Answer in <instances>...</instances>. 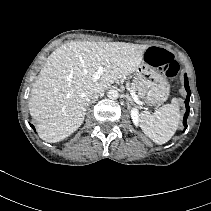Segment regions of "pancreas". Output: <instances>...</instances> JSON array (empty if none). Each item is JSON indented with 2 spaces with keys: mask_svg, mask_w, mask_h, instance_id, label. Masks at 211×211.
Wrapping results in <instances>:
<instances>
[{
  "mask_svg": "<svg viewBox=\"0 0 211 211\" xmlns=\"http://www.w3.org/2000/svg\"><path fill=\"white\" fill-rule=\"evenodd\" d=\"M132 89H134L140 98L144 97V93H145V86L143 85V83H141L140 81L134 80V82L131 85Z\"/></svg>",
  "mask_w": 211,
  "mask_h": 211,
  "instance_id": "cf45deb5",
  "label": "pancreas"
}]
</instances>
